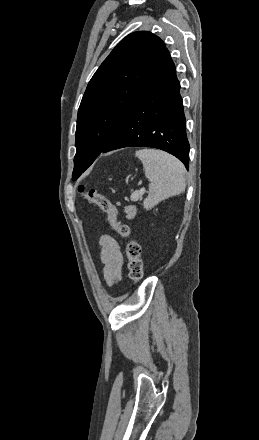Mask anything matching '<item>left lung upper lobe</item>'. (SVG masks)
I'll return each instance as SVG.
<instances>
[{"label":"left lung upper lobe","instance_id":"1","mask_svg":"<svg viewBox=\"0 0 259 440\" xmlns=\"http://www.w3.org/2000/svg\"><path fill=\"white\" fill-rule=\"evenodd\" d=\"M164 49L165 44L156 35L134 32L112 50L95 72L78 110L73 180L111 142L148 84Z\"/></svg>","mask_w":259,"mask_h":440}]
</instances>
